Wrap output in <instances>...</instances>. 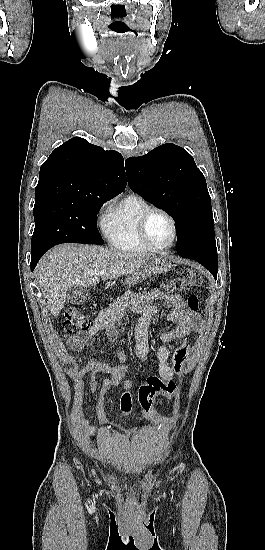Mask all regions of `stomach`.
Returning a JSON list of instances; mask_svg holds the SVG:
<instances>
[{"mask_svg": "<svg viewBox=\"0 0 265 550\" xmlns=\"http://www.w3.org/2000/svg\"><path fill=\"white\" fill-rule=\"evenodd\" d=\"M171 262L164 255H151L150 258L132 276L134 279H146L152 275L170 271Z\"/></svg>", "mask_w": 265, "mask_h": 550, "instance_id": "obj_1", "label": "stomach"}]
</instances>
